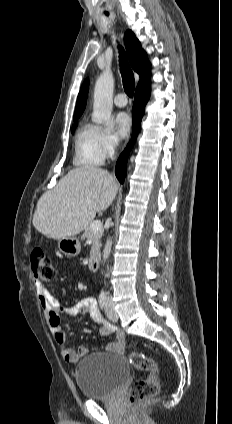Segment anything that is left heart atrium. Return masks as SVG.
<instances>
[{
  "instance_id": "left-heart-atrium-1",
  "label": "left heart atrium",
  "mask_w": 232,
  "mask_h": 424,
  "mask_svg": "<svg viewBox=\"0 0 232 424\" xmlns=\"http://www.w3.org/2000/svg\"><path fill=\"white\" fill-rule=\"evenodd\" d=\"M115 122H116V125H117L119 135L121 137L127 136L129 134L130 128H131L130 117L128 116V114L125 113V112H121V113L117 114V116L115 118Z\"/></svg>"
}]
</instances>
